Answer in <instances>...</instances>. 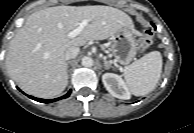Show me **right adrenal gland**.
<instances>
[{
	"mask_svg": "<svg viewBox=\"0 0 194 133\" xmlns=\"http://www.w3.org/2000/svg\"><path fill=\"white\" fill-rule=\"evenodd\" d=\"M69 63H70V62H67V63H66V65H67V70H68V67H69V66H68V65H69Z\"/></svg>",
	"mask_w": 194,
	"mask_h": 133,
	"instance_id": "1",
	"label": "right adrenal gland"
}]
</instances>
